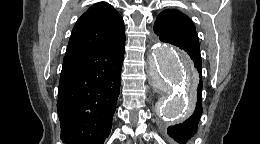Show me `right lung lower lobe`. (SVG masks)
Returning <instances> with one entry per match:
<instances>
[{
  "instance_id": "98d812e1",
  "label": "right lung lower lobe",
  "mask_w": 260,
  "mask_h": 144,
  "mask_svg": "<svg viewBox=\"0 0 260 144\" xmlns=\"http://www.w3.org/2000/svg\"><path fill=\"white\" fill-rule=\"evenodd\" d=\"M125 39L65 55L58 88L61 139L103 144L120 92Z\"/></svg>"
}]
</instances>
